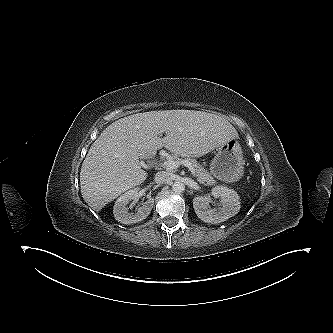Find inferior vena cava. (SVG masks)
Instances as JSON below:
<instances>
[{"label": "inferior vena cava", "mask_w": 333, "mask_h": 333, "mask_svg": "<svg viewBox=\"0 0 333 333\" xmlns=\"http://www.w3.org/2000/svg\"><path fill=\"white\" fill-rule=\"evenodd\" d=\"M171 174L166 171H160L155 174V182L157 184L168 183L171 180Z\"/></svg>", "instance_id": "602c4592"}]
</instances>
